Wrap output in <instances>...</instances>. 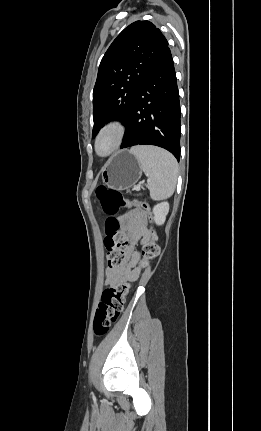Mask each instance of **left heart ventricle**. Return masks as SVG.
I'll return each mask as SVG.
<instances>
[{
	"label": "left heart ventricle",
	"mask_w": 261,
	"mask_h": 431,
	"mask_svg": "<svg viewBox=\"0 0 261 431\" xmlns=\"http://www.w3.org/2000/svg\"><path fill=\"white\" fill-rule=\"evenodd\" d=\"M111 143V140L109 137H105L101 140L100 144H99V149L100 151H105L109 148Z\"/></svg>",
	"instance_id": "obj_1"
}]
</instances>
